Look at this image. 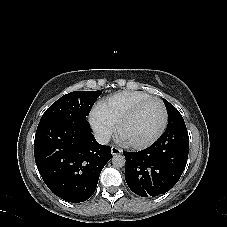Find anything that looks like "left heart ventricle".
Here are the masks:
<instances>
[{"instance_id":"b2bd125f","label":"left heart ventricle","mask_w":227,"mask_h":227,"mask_svg":"<svg viewBox=\"0 0 227 227\" xmlns=\"http://www.w3.org/2000/svg\"><path fill=\"white\" fill-rule=\"evenodd\" d=\"M163 121V110L157 101L146 103L122 130L126 141L143 142L150 139Z\"/></svg>"}]
</instances>
